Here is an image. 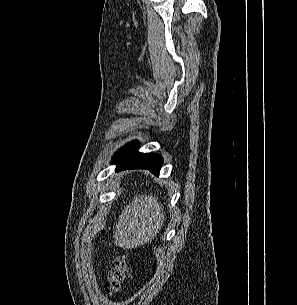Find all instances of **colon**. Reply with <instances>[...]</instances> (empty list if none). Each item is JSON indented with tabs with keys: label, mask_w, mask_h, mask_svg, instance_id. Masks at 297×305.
I'll return each mask as SVG.
<instances>
[{
	"label": "colon",
	"mask_w": 297,
	"mask_h": 305,
	"mask_svg": "<svg viewBox=\"0 0 297 305\" xmlns=\"http://www.w3.org/2000/svg\"><path fill=\"white\" fill-rule=\"evenodd\" d=\"M129 274V267L124 256L117 257L108 272L105 281V290L109 295L118 293Z\"/></svg>",
	"instance_id": "1"
}]
</instances>
